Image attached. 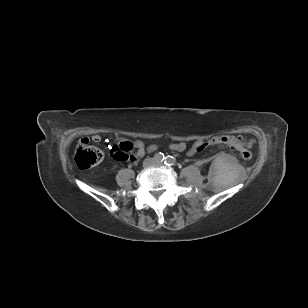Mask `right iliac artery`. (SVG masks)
Returning a JSON list of instances; mask_svg holds the SVG:
<instances>
[{
    "label": "right iliac artery",
    "mask_w": 308,
    "mask_h": 308,
    "mask_svg": "<svg viewBox=\"0 0 308 308\" xmlns=\"http://www.w3.org/2000/svg\"><path fill=\"white\" fill-rule=\"evenodd\" d=\"M154 158H155V160L156 161H158V162H163L166 158H165V156H164V154L163 153H156L155 155H154Z\"/></svg>",
    "instance_id": "right-iliac-artery-1"
}]
</instances>
